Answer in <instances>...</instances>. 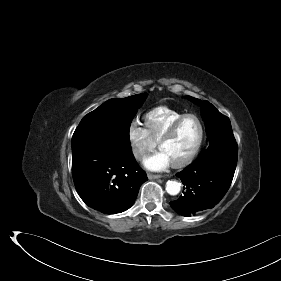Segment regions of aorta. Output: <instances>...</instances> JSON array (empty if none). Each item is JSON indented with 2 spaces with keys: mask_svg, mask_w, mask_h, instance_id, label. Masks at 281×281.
Segmentation results:
<instances>
[{
  "mask_svg": "<svg viewBox=\"0 0 281 281\" xmlns=\"http://www.w3.org/2000/svg\"><path fill=\"white\" fill-rule=\"evenodd\" d=\"M181 184L177 181H168L166 183V191L170 195H177L180 192Z\"/></svg>",
  "mask_w": 281,
  "mask_h": 281,
  "instance_id": "aorta-1",
  "label": "aorta"
}]
</instances>
